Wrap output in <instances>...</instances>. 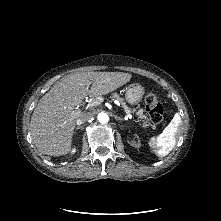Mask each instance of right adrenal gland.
Wrapping results in <instances>:
<instances>
[{
	"mask_svg": "<svg viewBox=\"0 0 221 221\" xmlns=\"http://www.w3.org/2000/svg\"><path fill=\"white\" fill-rule=\"evenodd\" d=\"M80 128V126L76 127V130H78Z\"/></svg>",
	"mask_w": 221,
	"mask_h": 221,
	"instance_id": "2a0ac1e0",
	"label": "right adrenal gland"
}]
</instances>
